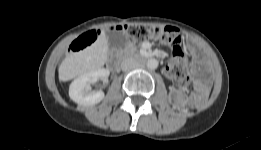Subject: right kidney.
<instances>
[{"mask_svg":"<svg viewBox=\"0 0 261 150\" xmlns=\"http://www.w3.org/2000/svg\"><path fill=\"white\" fill-rule=\"evenodd\" d=\"M109 74L110 71L105 68H99L81 74L70 84V98L74 102L86 106L101 102L104 98V92L101 90L90 91V85L96 83L98 80L106 81Z\"/></svg>","mask_w":261,"mask_h":150,"instance_id":"1","label":"right kidney"}]
</instances>
